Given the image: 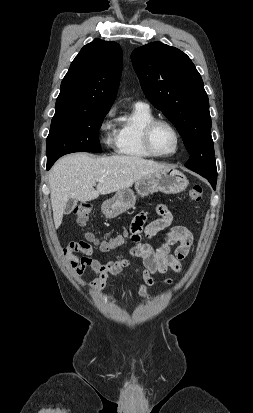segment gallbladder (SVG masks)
Wrapping results in <instances>:
<instances>
[{
	"mask_svg": "<svg viewBox=\"0 0 253 413\" xmlns=\"http://www.w3.org/2000/svg\"><path fill=\"white\" fill-rule=\"evenodd\" d=\"M76 205L77 201L75 199H70L66 205L65 213L69 214Z\"/></svg>",
	"mask_w": 253,
	"mask_h": 413,
	"instance_id": "gallbladder-1",
	"label": "gallbladder"
}]
</instances>
